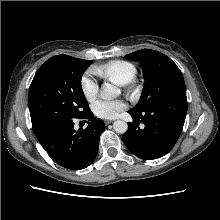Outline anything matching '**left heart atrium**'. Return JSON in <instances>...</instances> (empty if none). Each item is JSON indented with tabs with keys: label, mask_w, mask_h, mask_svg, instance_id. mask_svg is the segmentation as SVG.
<instances>
[{
	"label": "left heart atrium",
	"mask_w": 220,
	"mask_h": 220,
	"mask_svg": "<svg viewBox=\"0 0 220 220\" xmlns=\"http://www.w3.org/2000/svg\"><path fill=\"white\" fill-rule=\"evenodd\" d=\"M126 107V102L121 99H99L92 104V111L100 118L111 119L116 117L118 113L124 110Z\"/></svg>",
	"instance_id": "left-heart-atrium-1"
}]
</instances>
